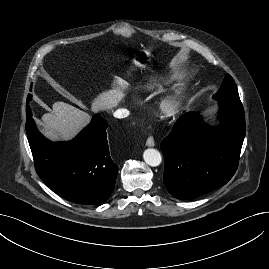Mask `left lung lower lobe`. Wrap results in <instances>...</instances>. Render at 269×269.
<instances>
[{"instance_id": "1", "label": "left lung lower lobe", "mask_w": 269, "mask_h": 269, "mask_svg": "<svg viewBox=\"0 0 269 269\" xmlns=\"http://www.w3.org/2000/svg\"><path fill=\"white\" fill-rule=\"evenodd\" d=\"M218 127H208L197 113L181 116L161 142L163 181L178 199H191L225 185L234 175L245 137L241 101L222 100Z\"/></svg>"}]
</instances>
